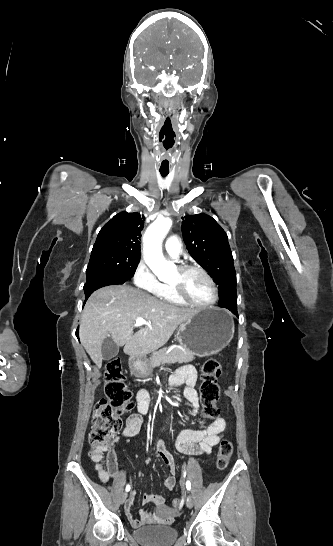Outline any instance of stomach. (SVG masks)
Instances as JSON below:
<instances>
[{"label": "stomach", "mask_w": 333, "mask_h": 546, "mask_svg": "<svg viewBox=\"0 0 333 546\" xmlns=\"http://www.w3.org/2000/svg\"><path fill=\"white\" fill-rule=\"evenodd\" d=\"M234 322L224 310L210 308L199 310L193 317L182 323L177 331L180 345L198 357H208L219 353L232 340ZM131 373L140 378L151 374L145 356L129 360Z\"/></svg>", "instance_id": "obj_1"}]
</instances>
